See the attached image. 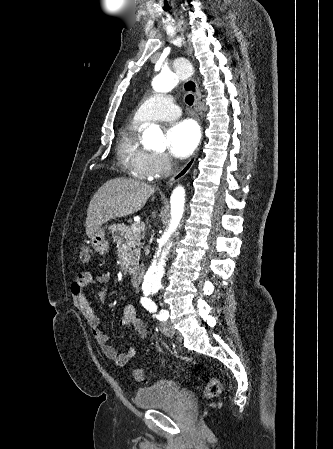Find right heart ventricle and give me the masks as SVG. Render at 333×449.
I'll return each mask as SVG.
<instances>
[{
  "mask_svg": "<svg viewBox=\"0 0 333 449\" xmlns=\"http://www.w3.org/2000/svg\"><path fill=\"white\" fill-rule=\"evenodd\" d=\"M143 124L133 120L124 127L118 137V155L131 174L138 179H150L149 154L140 144Z\"/></svg>",
  "mask_w": 333,
  "mask_h": 449,
  "instance_id": "1",
  "label": "right heart ventricle"
}]
</instances>
